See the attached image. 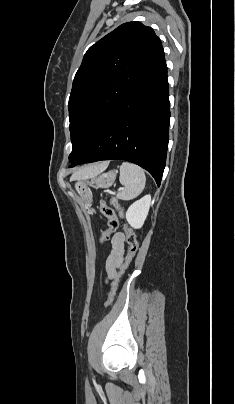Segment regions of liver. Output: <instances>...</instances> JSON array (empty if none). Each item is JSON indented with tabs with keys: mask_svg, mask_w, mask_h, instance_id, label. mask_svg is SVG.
Here are the masks:
<instances>
[{
	"mask_svg": "<svg viewBox=\"0 0 235 404\" xmlns=\"http://www.w3.org/2000/svg\"><path fill=\"white\" fill-rule=\"evenodd\" d=\"M107 164V162H102L100 164L85 166L74 172V174L71 176V180L91 178L101 173L106 168Z\"/></svg>",
	"mask_w": 235,
	"mask_h": 404,
	"instance_id": "6515ba94",
	"label": "liver"
}]
</instances>
